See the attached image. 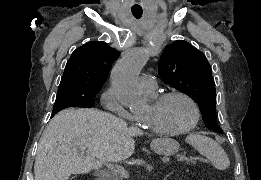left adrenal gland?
<instances>
[{
	"instance_id": "1",
	"label": "left adrenal gland",
	"mask_w": 261,
	"mask_h": 180,
	"mask_svg": "<svg viewBox=\"0 0 261 180\" xmlns=\"http://www.w3.org/2000/svg\"><path fill=\"white\" fill-rule=\"evenodd\" d=\"M167 178H169V176H165V180H167Z\"/></svg>"
}]
</instances>
